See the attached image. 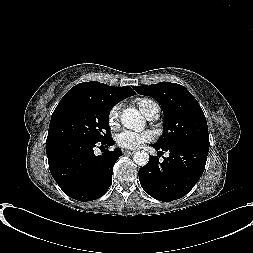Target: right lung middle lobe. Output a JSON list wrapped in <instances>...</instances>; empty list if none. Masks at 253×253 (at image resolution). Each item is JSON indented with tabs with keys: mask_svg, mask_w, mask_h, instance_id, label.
Returning a JSON list of instances; mask_svg holds the SVG:
<instances>
[{
	"mask_svg": "<svg viewBox=\"0 0 253 253\" xmlns=\"http://www.w3.org/2000/svg\"><path fill=\"white\" fill-rule=\"evenodd\" d=\"M113 106L87 95H64L52 114L46 144L73 138L97 142L107 139Z\"/></svg>",
	"mask_w": 253,
	"mask_h": 253,
	"instance_id": "obj_1",
	"label": "right lung middle lobe"
}]
</instances>
